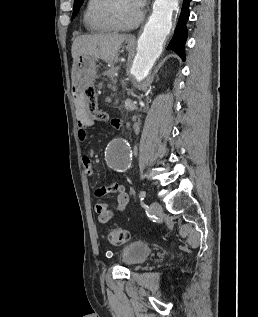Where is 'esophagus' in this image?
Returning <instances> with one entry per match:
<instances>
[{
  "mask_svg": "<svg viewBox=\"0 0 258 317\" xmlns=\"http://www.w3.org/2000/svg\"><path fill=\"white\" fill-rule=\"evenodd\" d=\"M128 38H130L131 40H134L136 37L135 35H129Z\"/></svg>",
  "mask_w": 258,
  "mask_h": 317,
  "instance_id": "esophagus-1",
  "label": "esophagus"
}]
</instances>
